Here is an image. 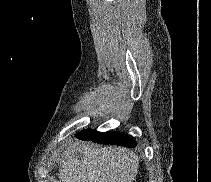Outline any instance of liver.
<instances>
[{"mask_svg": "<svg viewBox=\"0 0 211 182\" xmlns=\"http://www.w3.org/2000/svg\"><path fill=\"white\" fill-rule=\"evenodd\" d=\"M138 166V157L129 149L77 140L60 164L59 178L60 182H133Z\"/></svg>", "mask_w": 211, "mask_h": 182, "instance_id": "liver-1", "label": "liver"}]
</instances>
